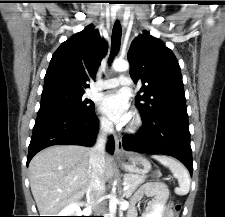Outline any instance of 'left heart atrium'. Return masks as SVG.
I'll return each instance as SVG.
<instances>
[{"label": "left heart atrium", "mask_w": 225, "mask_h": 217, "mask_svg": "<svg viewBox=\"0 0 225 217\" xmlns=\"http://www.w3.org/2000/svg\"><path fill=\"white\" fill-rule=\"evenodd\" d=\"M100 109L113 122L125 124L131 116L129 98L124 92H110L100 100Z\"/></svg>", "instance_id": "obj_1"}]
</instances>
